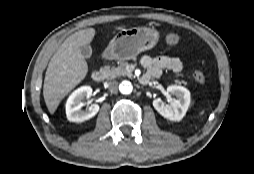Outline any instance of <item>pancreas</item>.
Wrapping results in <instances>:
<instances>
[{
    "label": "pancreas",
    "instance_id": "cf45deb5",
    "mask_svg": "<svg viewBox=\"0 0 254 174\" xmlns=\"http://www.w3.org/2000/svg\"><path fill=\"white\" fill-rule=\"evenodd\" d=\"M127 66H128L127 62L121 61L117 67L105 66L101 68V71L109 79L116 78L118 76L132 77V74L127 71ZM176 82L179 84L181 83L186 84V82L183 80H176Z\"/></svg>",
    "mask_w": 254,
    "mask_h": 174
}]
</instances>
